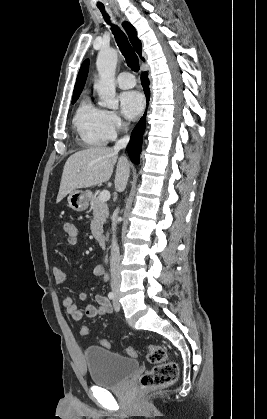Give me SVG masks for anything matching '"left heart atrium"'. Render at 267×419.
Masks as SVG:
<instances>
[{"instance_id": "1", "label": "left heart atrium", "mask_w": 267, "mask_h": 419, "mask_svg": "<svg viewBox=\"0 0 267 419\" xmlns=\"http://www.w3.org/2000/svg\"><path fill=\"white\" fill-rule=\"evenodd\" d=\"M120 108L128 119L136 118L144 108V97L138 91H125L119 96Z\"/></svg>"}]
</instances>
